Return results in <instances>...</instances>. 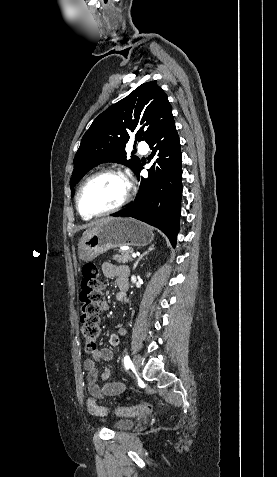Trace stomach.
<instances>
[{
	"mask_svg": "<svg viewBox=\"0 0 277 477\" xmlns=\"http://www.w3.org/2000/svg\"><path fill=\"white\" fill-rule=\"evenodd\" d=\"M154 239L153 230L132 218H106L83 234L78 244L79 258L91 261L121 246H146Z\"/></svg>",
	"mask_w": 277,
	"mask_h": 477,
	"instance_id": "0dacf381",
	"label": "stomach"
}]
</instances>
